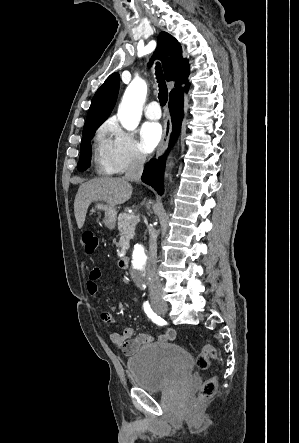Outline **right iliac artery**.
Returning <instances> with one entry per match:
<instances>
[{
	"label": "right iliac artery",
	"instance_id": "1",
	"mask_svg": "<svg viewBox=\"0 0 299 443\" xmlns=\"http://www.w3.org/2000/svg\"><path fill=\"white\" fill-rule=\"evenodd\" d=\"M143 308L144 311L146 313V315L157 325L159 326H163L165 325V320L163 318H161L160 316H158L150 307V304L148 303V301L144 302L143 304Z\"/></svg>",
	"mask_w": 299,
	"mask_h": 443
}]
</instances>
